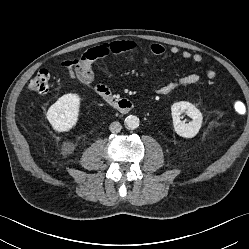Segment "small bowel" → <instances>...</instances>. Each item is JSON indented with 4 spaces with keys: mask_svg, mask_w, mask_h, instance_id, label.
<instances>
[{
    "mask_svg": "<svg viewBox=\"0 0 249 249\" xmlns=\"http://www.w3.org/2000/svg\"><path fill=\"white\" fill-rule=\"evenodd\" d=\"M166 52V47L161 43H153L148 49L141 46L134 40H112L99 44L87 50L80 58H70L64 61V66L68 70L70 78L77 80L85 86L92 87L99 94L110 91L108 86L102 83L93 85L94 82V63L102 58H107L114 55H128L139 58L144 64L149 62V55L160 56ZM169 52L173 55L180 54L186 60H192L199 63L202 61V56L199 53H193L188 50L180 51L177 46H171ZM209 79L216 77V71L210 69L206 73ZM200 75L192 73L180 77L176 80L167 82L155 89L157 95H168L175 89L183 86H191L199 83Z\"/></svg>",
    "mask_w": 249,
    "mask_h": 249,
    "instance_id": "1",
    "label": "small bowel"
}]
</instances>
